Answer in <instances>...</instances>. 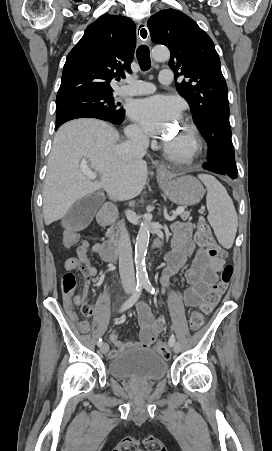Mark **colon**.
Listing matches in <instances>:
<instances>
[{"label": "colon", "mask_w": 272, "mask_h": 451, "mask_svg": "<svg viewBox=\"0 0 272 451\" xmlns=\"http://www.w3.org/2000/svg\"><path fill=\"white\" fill-rule=\"evenodd\" d=\"M62 237L63 247L65 249H76L77 244H80L81 242V237L80 235H77L76 230H63ZM196 240L209 248L207 249V258L229 257V250L218 247V244L214 240L209 226L205 221L200 223L196 233ZM66 265L67 268L64 274H59L61 289H65L64 295L67 303H80L81 296L80 294H75L74 290L78 289V280H76V274H74L73 270L75 267H79L82 271H92L94 269V264L92 262H88L86 258L70 257L66 260ZM233 271L234 268L231 264L224 266L220 272L218 283L215 284L204 297V303L202 305L203 312L209 313L215 308L231 282ZM81 311L83 314H90L91 305L86 301L83 302L81 305ZM202 324L203 318L201 313L193 312L190 316L191 328L196 330L200 328ZM79 329L82 332H86L89 329V324L83 321L79 324ZM153 348L154 351H158V354H161L164 359H168L170 354H173L174 351L173 345H170V342H154Z\"/></svg>", "instance_id": "obj_1"}]
</instances>
